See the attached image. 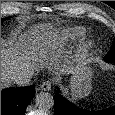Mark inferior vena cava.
<instances>
[{"instance_id":"1","label":"inferior vena cava","mask_w":115,"mask_h":115,"mask_svg":"<svg viewBox=\"0 0 115 115\" xmlns=\"http://www.w3.org/2000/svg\"><path fill=\"white\" fill-rule=\"evenodd\" d=\"M32 76H33V72L32 71H22V72H19L14 77L13 81L18 86H27V85H29Z\"/></svg>"}]
</instances>
